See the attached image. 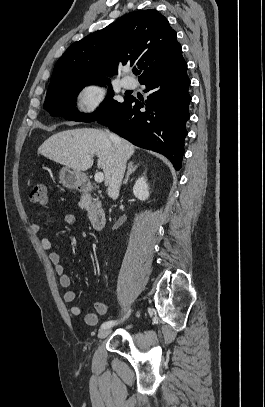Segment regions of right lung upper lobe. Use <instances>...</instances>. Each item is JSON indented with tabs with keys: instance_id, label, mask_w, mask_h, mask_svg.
<instances>
[{
	"instance_id": "right-lung-upper-lobe-1",
	"label": "right lung upper lobe",
	"mask_w": 265,
	"mask_h": 407,
	"mask_svg": "<svg viewBox=\"0 0 265 407\" xmlns=\"http://www.w3.org/2000/svg\"><path fill=\"white\" fill-rule=\"evenodd\" d=\"M176 38V32L158 11L129 13L73 43L57 61L50 85L108 80L101 74L114 75L119 63L138 66L142 71L140 81L182 52Z\"/></svg>"
}]
</instances>
